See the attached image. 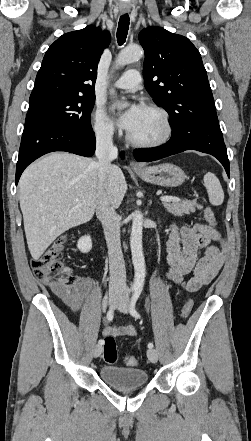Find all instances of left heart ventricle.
I'll use <instances>...</instances> for the list:
<instances>
[{"mask_svg":"<svg viewBox=\"0 0 251 441\" xmlns=\"http://www.w3.org/2000/svg\"><path fill=\"white\" fill-rule=\"evenodd\" d=\"M163 132L164 125L160 115L144 108L136 126L129 133L137 140L148 141L159 138Z\"/></svg>","mask_w":251,"mask_h":441,"instance_id":"1","label":"left heart ventricle"}]
</instances>
